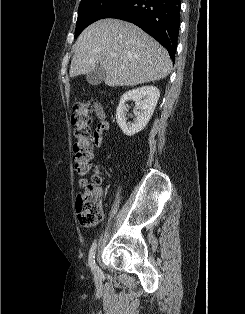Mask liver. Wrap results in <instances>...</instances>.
Wrapping results in <instances>:
<instances>
[{"instance_id":"6515ba94","label":"liver","mask_w":245,"mask_h":314,"mask_svg":"<svg viewBox=\"0 0 245 314\" xmlns=\"http://www.w3.org/2000/svg\"><path fill=\"white\" fill-rule=\"evenodd\" d=\"M98 64L110 87L158 81L172 70L164 47L136 25L118 19L99 20L81 33L75 43L70 77L88 74Z\"/></svg>"}]
</instances>
